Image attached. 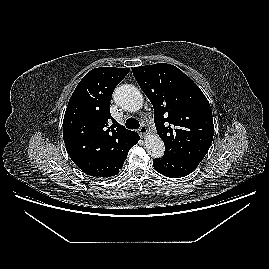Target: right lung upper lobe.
<instances>
[{"instance_id":"right-lung-upper-lobe-1","label":"right lung upper lobe","mask_w":269,"mask_h":269,"mask_svg":"<svg viewBox=\"0 0 269 269\" xmlns=\"http://www.w3.org/2000/svg\"><path fill=\"white\" fill-rule=\"evenodd\" d=\"M129 71L95 68L82 78L69 100L63 119V139L69 156L87 175L118 174L137 135L110 114L112 93Z\"/></svg>"}]
</instances>
